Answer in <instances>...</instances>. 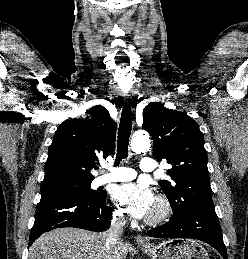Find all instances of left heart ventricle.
<instances>
[{"label":"left heart ventricle","mask_w":248,"mask_h":259,"mask_svg":"<svg viewBox=\"0 0 248 259\" xmlns=\"http://www.w3.org/2000/svg\"><path fill=\"white\" fill-rule=\"evenodd\" d=\"M158 212H159V206H158V204L155 201L154 205H153V207H152V209H151V211H150L148 216H153V215L157 214Z\"/></svg>","instance_id":"left-heart-ventricle-1"}]
</instances>
